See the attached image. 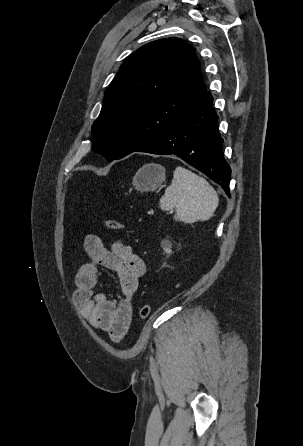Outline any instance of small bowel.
I'll return each mask as SVG.
<instances>
[{
	"label": "small bowel",
	"mask_w": 303,
	"mask_h": 446,
	"mask_svg": "<svg viewBox=\"0 0 303 446\" xmlns=\"http://www.w3.org/2000/svg\"><path fill=\"white\" fill-rule=\"evenodd\" d=\"M83 248L88 261L76 273L73 301L92 327L109 333L114 341H120L130 327L134 294L145 274V263L129 244L120 240L108 249L99 236L88 234L83 240ZM100 267L116 272L121 291L118 301L96 291Z\"/></svg>",
	"instance_id": "1"
}]
</instances>
